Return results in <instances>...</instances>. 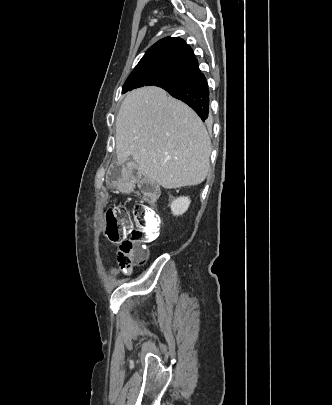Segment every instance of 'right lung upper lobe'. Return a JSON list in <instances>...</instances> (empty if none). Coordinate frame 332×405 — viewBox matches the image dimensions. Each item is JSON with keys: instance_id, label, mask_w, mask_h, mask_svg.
Instances as JSON below:
<instances>
[{"instance_id": "right-lung-upper-lobe-1", "label": "right lung upper lobe", "mask_w": 332, "mask_h": 405, "mask_svg": "<svg viewBox=\"0 0 332 405\" xmlns=\"http://www.w3.org/2000/svg\"><path fill=\"white\" fill-rule=\"evenodd\" d=\"M161 71L188 78L200 73L193 50L181 38L166 37L151 46L133 72Z\"/></svg>"}]
</instances>
